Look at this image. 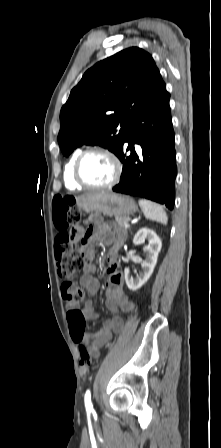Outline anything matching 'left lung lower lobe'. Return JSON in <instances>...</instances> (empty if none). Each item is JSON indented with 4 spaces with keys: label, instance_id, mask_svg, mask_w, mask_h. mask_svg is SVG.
Instances as JSON below:
<instances>
[{
    "label": "left lung lower lobe",
    "instance_id": "left-lung-lower-lobe-1",
    "mask_svg": "<svg viewBox=\"0 0 221 448\" xmlns=\"http://www.w3.org/2000/svg\"><path fill=\"white\" fill-rule=\"evenodd\" d=\"M169 98L165 88L132 121L117 156L123 163V171L113 191L145 197L172 210L177 167ZM134 143L142 147L143 162L134 151ZM129 150L131 153L127 155Z\"/></svg>",
    "mask_w": 221,
    "mask_h": 448
}]
</instances>
